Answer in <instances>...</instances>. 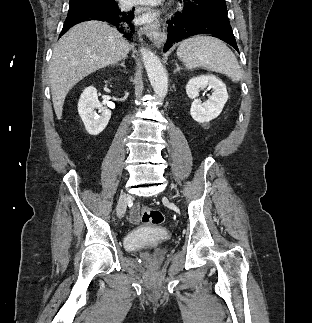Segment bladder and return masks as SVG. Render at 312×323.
Masks as SVG:
<instances>
[{"mask_svg": "<svg viewBox=\"0 0 312 323\" xmlns=\"http://www.w3.org/2000/svg\"><path fill=\"white\" fill-rule=\"evenodd\" d=\"M166 239H167V235L166 236L163 235V236H161V238L148 239L147 240V243L148 244L155 245V244H159V243L165 242Z\"/></svg>", "mask_w": 312, "mask_h": 323, "instance_id": "31cf9c89", "label": "bladder"}]
</instances>
